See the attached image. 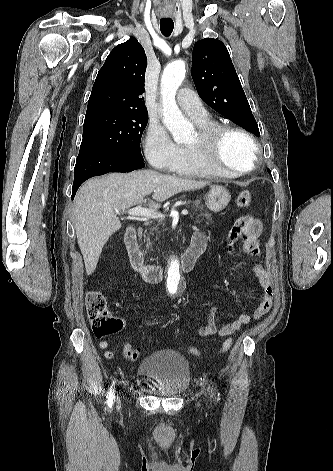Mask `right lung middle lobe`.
<instances>
[{
  "label": "right lung middle lobe",
  "instance_id": "dd1d6c3e",
  "mask_svg": "<svg viewBox=\"0 0 333 471\" xmlns=\"http://www.w3.org/2000/svg\"><path fill=\"white\" fill-rule=\"evenodd\" d=\"M148 113L107 112L85 117L80 151L113 150L143 159L140 151Z\"/></svg>",
  "mask_w": 333,
  "mask_h": 471
}]
</instances>
